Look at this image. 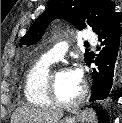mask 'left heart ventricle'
Returning a JSON list of instances; mask_svg holds the SVG:
<instances>
[{
	"mask_svg": "<svg viewBox=\"0 0 122 123\" xmlns=\"http://www.w3.org/2000/svg\"><path fill=\"white\" fill-rule=\"evenodd\" d=\"M56 93L64 101L75 98L81 90L82 82L77 81L69 69H59L56 72Z\"/></svg>",
	"mask_w": 122,
	"mask_h": 123,
	"instance_id": "left-heart-ventricle-1",
	"label": "left heart ventricle"
}]
</instances>
